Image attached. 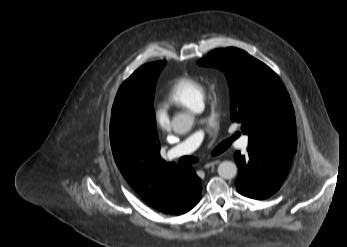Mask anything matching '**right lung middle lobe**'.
<instances>
[{
    "label": "right lung middle lobe",
    "mask_w": 347,
    "mask_h": 247,
    "mask_svg": "<svg viewBox=\"0 0 347 247\" xmlns=\"http://www.w3.org/2000/svg\"><path fill=\"white\" fill-rule=\"evenodd\" d=\"M166 61L141 66L120 87L112 108L111 121L133 133L157 135L153 108L158 76Z\"/></svg>",
    "instance_id": "right-lung-middle-lobe-1"
}]
</instances>
